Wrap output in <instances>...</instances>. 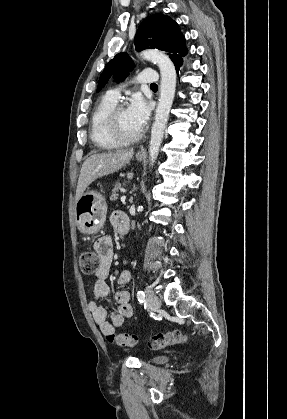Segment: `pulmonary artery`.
<instances>
[{
	"instance_id": "obj_1",
	"label": "pulmonary artery",
	"mask_w": 287,
	"mask_h": 419,
	"mask_svg": "<svg viewBox=\"0 0 287 419\" xmlns=\"http://www.w3.org/2000/svg\"><path fill=\"white\" fill-rule=\"evenodd\" d=\"M159 79L158 74L153 70H143L140 74H138L135 78L136 83H149L155 84ZM108 94L114 98L118 99L120 96V88L112 89L108 92Z\"/></svg>"
}]
</instances>
